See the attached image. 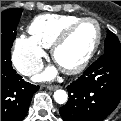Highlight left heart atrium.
<instances>
[{
  "mask_svg": "<svg viewBox=\"0 0 121 121\" xmlns=\"http://www.w3.org/2000/svg\"><path fill=\"white\" fill-rule=\"evenodd\" d=\"M55 74H56V69L49 68L42 75L38 76V79L48 80V79H51Z\"/></svg>",
  "mask_w": 121,
  "mask_h": 121,
  "instance_id": "left-heart-atrium-1",
  "label": "left heart atrium"
}]
</instances>
